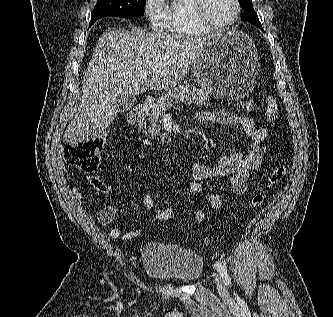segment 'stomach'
<instances>
[{
  "instance_id": "1",
  "label": "stomach",
  "mask_w": 333,
  "mask_h": 317,
  "mask_svg": "<svg viewBox=\"0 0 333 317\" xmlns=\"http://www.w3.org/2000/svg\"><path fill=\"white\" fill-rule=\"evenodd\" d=\"M193 73L205 92L217 98L250 95L258 77L256 46L242 31L212 36L194 59Z\"/></svg>"
}]
</instances>
